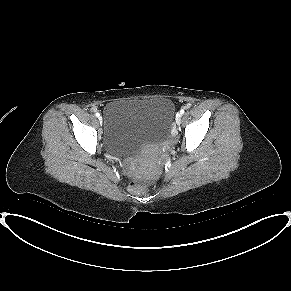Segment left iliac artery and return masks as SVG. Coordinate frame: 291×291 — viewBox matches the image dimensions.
I'll return each instance as SVG.
<instances>
[{
    "label": "left iliac artery",
    "mask_w": 291,
    "mask_h": 291,
    "mask_svg": "<svg viewBox=\"0 0 291 291\" xmlns=\"http://www.w3.org/2000/svg\"><path fill=\"white\" fill-rule=\"evenodd\" d=\"M184 112H185L184 109H181V110H180V114H181V115H183Z\"/></svg>",
    "instance_id": "left-iliac-artery-1"
}]
</instances>
